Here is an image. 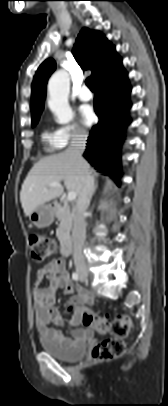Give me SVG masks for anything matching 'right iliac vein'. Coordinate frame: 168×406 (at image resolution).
<instances>
[{
  "label": "right iliac vein",
  "instance_id": "right-iliac-vein-1",
  "mask_svg": "<svg viewBox=\"0 0 168 406\" xmlns=\"http://www.w3.org/2000/svg\"><path fill=\"white\" fill-rule=\"evenodd\" d=\"M78 273L80 275V278H82L84 280L87 279V277L89 275L88 270L86 268H79Z\"/></svg>",
  "mask_w": 168,
  "mask_h": 406
}]
</instances>
